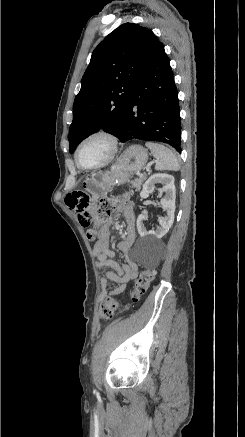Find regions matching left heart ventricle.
<instances>
[{
    "instance_id": "1",
    "label": "left heart ventricle",
    "mask_w": 245,
    "mask_h": 437,
    "mask_svg": "<svg viewBox=\"0 0 245 437\" xmlns=\"http://www.w3.org/2000/svg\"><path fill=\"white\" fill-rule=\"evenodd\" d=\"M110 150V145L104 138H93L80 149L79 160L84 166H92L103 161Z\"/></svg>"
}]
</instances>
